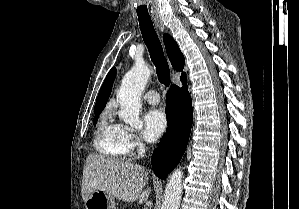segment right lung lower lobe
Segmentation results:
<instances>
[{
	"instance_id": "1",
	"label": "right lung lower lobe",
	"mask_w": 299,
	"mask_h": 209,
	"mask_svg": "<svg viewBox=\"0 0 299 209\" xmlns=\"http://www.w3.org/2000/svg\"><path fill=\"white\" fill-rule=\"evenodd\" d=\"M183 88L172 85L166 95L168 129L153 152L151 163L155 174L165 179L184 154L193 122L192 101L186 79Z\"/></svg>"
}]
</instances>
